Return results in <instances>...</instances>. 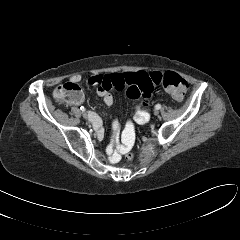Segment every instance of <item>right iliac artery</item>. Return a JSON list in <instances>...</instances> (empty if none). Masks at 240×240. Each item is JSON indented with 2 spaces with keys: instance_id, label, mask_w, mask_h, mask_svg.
<instances>
[{
  "instance_id": "obj_1",
  "label": "right iliac artery",
  "mask_w": 240,
  "mask_h": 240,
  "mask_svg": "<svg viewBox=\"0 0 240 240\" xmlns=\"http://www.w3.org/2000/svg\"><path fill=\"white\" fill-rule=\"evenodd\" d=\"M80 110H81L82 112H84V111H85V108H84L83 106H81V107H80Z\"/></svg>"
}]
</instances>
